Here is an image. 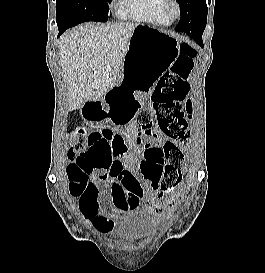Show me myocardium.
Listing matches in <instances>:
<instances>
[{
  "mask_svg": "<svg viewBox=\"0 0 265 273\" xmlns=\"http://www.w3.org/2000/svg\"><path fill=\"white\" fill-rule=\"evenodd\" d=\"M163 13L170 22L175 21L182 15V6L178 0H164Z\"/></svg>",
  "mask_w": 265,
  "mask_h": 273,
  "instance_id": "myocardium-1",
  "label": "myocardium"
}]
</instances>
